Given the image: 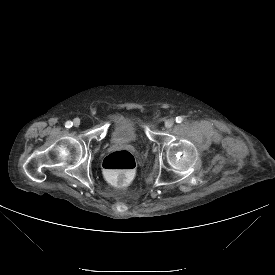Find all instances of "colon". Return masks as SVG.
Masks as SVG:
<instances>
[{
  "label": "colon",
  "instance_id": "5ec220e1",
  "mask_svg": "<svg viewBox=\"0 0 275 275\" xmlns=\"http://www.w3.org/2000/svg\"><path fill=\"white\" fill-rule=\"evenodd\" d=\"M135 168V158L127 150L112 152L103 161L105 175L112 183L120 186L127 185L134 179Z\"/></svg>",
  "mask_w": 275,
  "mask_h": 275
}]
</instances>
